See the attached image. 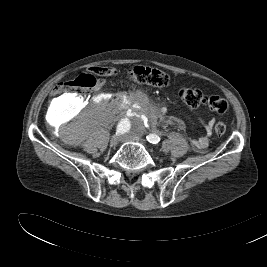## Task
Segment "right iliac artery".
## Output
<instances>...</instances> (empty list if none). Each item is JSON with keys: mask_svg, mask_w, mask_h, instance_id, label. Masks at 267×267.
Here are the masks:
<instances>
[{"mask_svg": "<svg viewBox=\"0 0 267 267\" xmlns=\"http://www.w3.org/2000/svg\"><path fill=\"white\" fill-rule=\"evenodd\" d=\"M130 124L127 120H123L121 121L118 126H117V132L116 134H124L125 132H127V130H129Z\"/></svg>", "mask_w": 267, "mask_h": 267, "instance_id": "obj_1", "label": "right iliac artery"}]
</instances>
